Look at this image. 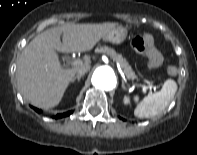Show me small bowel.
Instances as JSON below:
<instances>
[{"label": "small bowel", "mask_w": 197, "mask_h": 155, "mask_svg": "<svg viewBox=\"0 0 197 155\" xmlns=\"http://www.w3.org/2000/svg\"><path fill=\"white\" fill-rule=\"evenodd\" d=\"M146 38H147L149 41H151V38H150V37L147 36Z\"/></svg>", "instance_id": "1"}]
</instances>
